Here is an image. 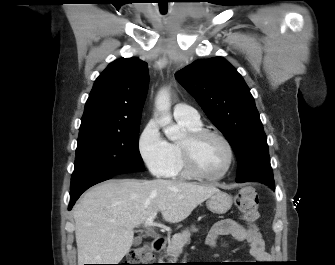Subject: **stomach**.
<instances>
[{
    "mask_svg": "<svg viewBox=\"0 0 335 265\" xmlns=\"http://www.w3.org/2000/svg\"><path fill=\"white\" fill-rule=\"evenodd\" d=\"M232 202L231 195L223 191H218L208 198L206 205L211 212L224 214L231 208Z\"/></svg>",
    "mask_w": 335,
    "mask_h": 265,
    "instance_id": "stomach-1",
    "label": "stomach"
}]
</instances>
